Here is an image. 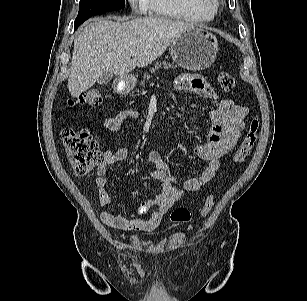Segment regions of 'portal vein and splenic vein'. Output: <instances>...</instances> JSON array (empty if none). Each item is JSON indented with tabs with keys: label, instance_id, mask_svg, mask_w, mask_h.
<instances>
[{
	"label": "portal vein and splenic vein",
	"instance_id": "portal-vein-and-splenic-vein-1",
	"mask_svg": "<svg viewBox=\"0 0 307 301\" xmlns=\"http://www.w3.org/2000/svg\"><path fill=\"white\" fill-rule=\"evenodd\" d=\"M130 55H131V56H135V55H136V52H135V51H132V52L130 53Z\"/></svg>",
	"mask_w": 307,
	"mask_h": 301
}]
</instances>
